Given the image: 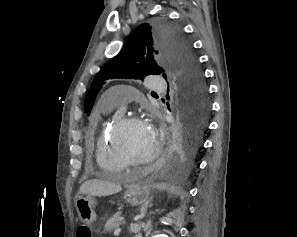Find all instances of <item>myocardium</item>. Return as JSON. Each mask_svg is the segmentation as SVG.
I'll return each mask as SVG.
<instances>
[{"label": "myocardium", "instance_id": "obj_1", "mask_svg": "<svg viewBox=\"0 0 297 237\" xmlns=\"http://www.w3.org/2000/svg\"><path fill=\"white\" fill-rule=\"evenodd\" d=\"M144 122L143 119L137 115H129L118 118L113 125L109 134V144L113 154L120 160L125 166H147L155 162L161 155L160 141L156 140L155 149L145 159H133L129 156L125 150L121 147L119 142V136L121 131L131 123Z\"/></svg>", "mask_w": 297, "mask_h": 237}]
</instances>
